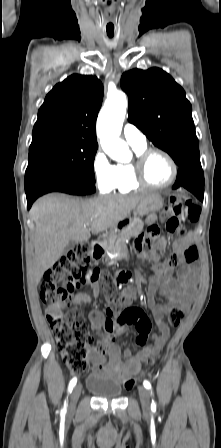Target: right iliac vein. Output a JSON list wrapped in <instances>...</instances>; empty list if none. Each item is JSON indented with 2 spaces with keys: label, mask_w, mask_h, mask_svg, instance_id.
<instances>
[{
  "label": "right iliac vein",
  "mask_w": 221,
  "mask_h": 448,
  "mask_svg": "<svg viewBox=\"0 0 221 448\" xmlns=\"http://www.w3.org/2000/svg\"><path fill=\"white\" fill-rule=\"evenodd\" d=\"M81 394V385H76L71 393L70 410H74Z\"/></svg>",
  "instance_id": "obj_1"
}]
</instances>
